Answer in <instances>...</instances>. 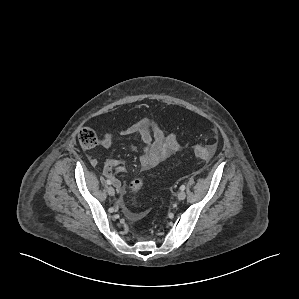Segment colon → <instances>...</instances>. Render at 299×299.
<instances>
[{
    "label": "colon",
    "mask_w": 299,
    "mask_h": 299,
    "mask_svg": "<svg viewBox=\"0 0 299 299\" xmlns=\"http://www.w3.org/2000/svg\"><path fill=\"white\" fill-rule=\"evenodd\" d=\"M78 139L80 144L87 149L93 148L94 146H96L98 142L97 136L94 133V131L87 127L82 128L80 130ZM215 150L216 147L213 144L198 145L194 148V154L200 159L208 160L212 158V156L215 153ZM142 185H143L142 180L140 179L134 180L130 185L133 194H136L141 189Z\"/></svg>",
    "instance_id": "obj_1"
}]
</instances>
